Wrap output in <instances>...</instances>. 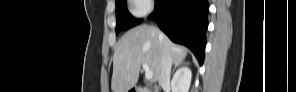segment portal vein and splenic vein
Returning <instances> with one entry per match:
<instances>
[{
  "label": "portal vein and splenic vein",
  "mask_w": 296,
  "mask_h": 92,
  "mask_svg": "<svg viewBox=\"0 0 296 92\" xmlns=\"http://www.w3.org/2000/svg\"><path fill=\"white\" fill-rule=\"evenodd\" d=\"M142 67H143V69L145 71V78L147 80H151L153 78V72L150 70L148 64L147 63H143L142 64Z\"/></svg>",
  "instance_id": "18ae733b"
}]
</instances>
